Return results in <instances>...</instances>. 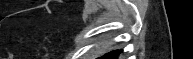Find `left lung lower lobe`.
<instances>
[{
	"instance_id": "1",
	"label": "left lung lower lobe",
	"mask_w": 193,
	"mask_h": 59,
	"mask_svg": "<svg viewBox=\"0 0 193 59\" xmlns=\"http://www.w3.org/2000/svg\"><path fill=\"white\" fill-rule=\"evenodd\" d=\"M122 51L120 50H115L112 52H109L107 54H105L104 56H102L100 59H117L118 55L121 53Z\"/></svg>"
}]
</instances>
